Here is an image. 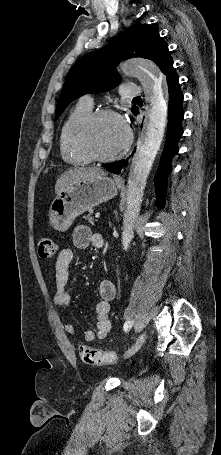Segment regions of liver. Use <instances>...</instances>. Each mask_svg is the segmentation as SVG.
<instances>
[{"label": "liver", "mask_w": 221, "mask_h": 455, "mask_svg": "<svg viewBox=\"0 0 221 455\" xmlns=\"http://www.w3.org/2000/svg\"><path fill=\"white\" fill-rule=\"evenodd\" d=\"M100 175H105L104 171L97 167H77L64 172L55 184V193L58 195L67 186L80 181L87 180Z\"/></svg>", "instance_id": "1"}]
</instances>
